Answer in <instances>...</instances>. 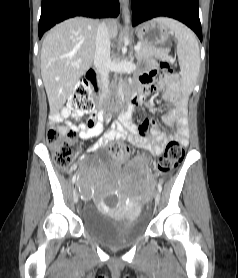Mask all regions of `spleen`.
Here are the masks:
<instances>
[{"instance_id":"obj_1","label":"spleen","mask_w":238,"mask_h":278,"mask_svg":"<svg viewBox=\"0 0 238 278\" xmlns=\"http://www.w3.org/2000/svg\"><path fill=\"white\" fill-rule=\"evenodd\" d=\"M157 20L173 32L178 41L177 54L181 70L182 90L189 95L196 84L200 68L197 37L193 31L179 21L166 17Z\"/></svg>"}]
</instances>
